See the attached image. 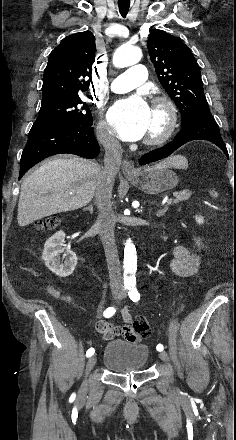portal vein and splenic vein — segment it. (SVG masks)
I'll return each instance as SVG.
<instances>
[{
  "label": "portal vein and splenic vein",
  "instance_id": "portal-vein-and-splenic-vein-1",
  "mask_svg": "<svg viewBox=\"0 0 236 440\" xmlns=\"http://www.w3.org/2000/svg\"><path fill=\"white\" fill-rule=\"evenodd\" d=\"M172 202V198L168 199L167 204H170Z\"/></svg>",
  "mask_w": 236,
  "mask_h": 440
}]
</instances>
